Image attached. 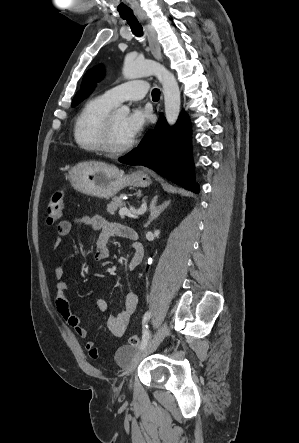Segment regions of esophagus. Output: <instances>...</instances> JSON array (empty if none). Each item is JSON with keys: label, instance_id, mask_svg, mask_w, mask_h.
<instances>
[{"label": "esophagus", "instance_id": "34e87169", "mask_svg": "<svg viewBox=\"0 0 299 443\" xmlns=\"http://www.w3.org/2000/svg\"><path fill=\"white\" fill-rule=\"evenodd\" d=\"M135 14H136L138 20L140 21V23L144 27V30L147 34L149 47H150V50H151L153 56L156 59L161 60L162 59L161 46L157 40L156 31H155L154 27L152 26L149 18L147 17L146 13L142 10H137L135 12Z\"/></svg>", "mask_w": 299, "mask_h": 443}]
</instances>
